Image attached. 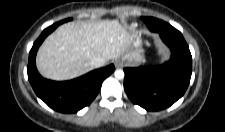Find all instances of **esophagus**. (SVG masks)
<instances>
[{
	"label": "esophagus",
	"instance_id": "obj_1",
	"mask_svg": "<svg viewBox=\"0 0 225 132\" xmlns=\"http://www.w3.org/2000/svg\"><path fill=\"white\" fill-rule=\"evenodd\" d=\"M115 65H116V67H121L122 66V63H121L120 60H116L115 61Z\"/></svg>",
	"mask_w": 225,
	"mask_h": 132
}]
</instances>
